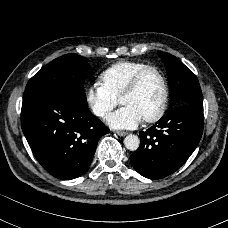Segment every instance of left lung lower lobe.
I'll list each match as a JSON object with an SVG mask.
<instances>
[{"mask_svg":"<svg viewBox=\"0 0 228 228\" xmlns=\"http://www.w3.org/2000/svg\"><path fill=\"white\" fill-rule=\"evenodd\" d=\"M203 123V104L168 109L156 125L140 133V147L130 156L132 166L149 179L174 173L197 147Z\"/></svg>","mask_w":228,"mask_h":228,"instance_id":"left-lung-lower-lobe-1","label":"left lung lower lobe"}]
</instances>
